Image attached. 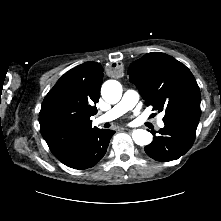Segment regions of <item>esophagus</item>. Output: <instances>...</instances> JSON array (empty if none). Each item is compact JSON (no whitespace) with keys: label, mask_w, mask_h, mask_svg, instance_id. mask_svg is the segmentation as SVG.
<instances>
[{"label":"esophagus","mask_w":221,"mask_h":221,"mask_svg":"<svg viewBox=\"0 0 221 221\" xmlns=\"http://www.w3.org/2000/svg\"><path fill=\"white\" fill-rule=\"evenodd\" d=\"M121 130H129V129H127V128H121Z\"/></svg>","instance_id":"esophagus-1"}]
</instances>
